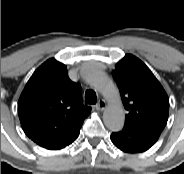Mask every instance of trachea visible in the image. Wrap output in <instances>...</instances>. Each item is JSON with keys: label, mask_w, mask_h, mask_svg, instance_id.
<instances>
[{"label": "trachea", "mask_w": 184, "mask_h": 174, "mask_svg": "<svg viewBox=\"0 0 184 174\" xmlns=\"http://www.w3.org/2000/svg\"><path fill=\"white\" fill-rule=\"evenodd\" d=\"M97 97L93 90L89 89L85 92V103L87 104H96Z\"/></svg>", "instance_id": "1"}]
</instances>
